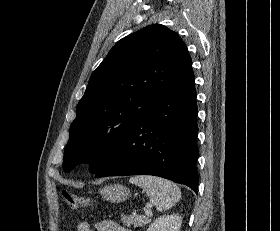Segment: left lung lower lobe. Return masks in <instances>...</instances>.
<instances>
[{"label":"left lung lower lobe","instance_id":"left-lung-lower-lobe-1","mask_svg":"<svg viewBox=\"0 0 280 231\" xmlns=\"http://www.w3.org/2000/svg\"><path fill=\"white\" fill-rule=\"evenodd\" d=\"M197 113L191 74L118 140L95 177L154 175L187 185L197 193Z\"/></svg>","mask_w":280,"mask_h":231}]
</instances>
